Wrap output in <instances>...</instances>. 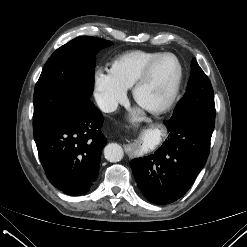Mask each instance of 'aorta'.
Wrapping results in <instances>:
<instances>
[{
	"label": "aorta",
	"mask_w": 247,
	"mask_h": 247,
	"mask_svg": "<svg viewBox=\"0 0 247 247\" xmlns=\"http://www.w3.org/2000/svg\"><path fill=\"white\" fill-rule=\"evenodd\" d=\"M122 147L117 143H110L104 148V156L110 162H118L123 158Z\"/></svg>",
	"instance_id": "aorta-1"
}]
</instances>
